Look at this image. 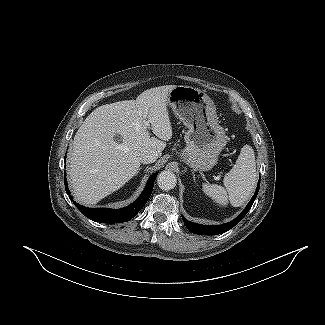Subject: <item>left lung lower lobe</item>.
Segmentation results:
<instances>
[{
	"label": "left lung lower lobe",
	"instance_id": "obj_1",
	"mask_svg": "<svg viewBox=\"0 0 325 325\" xmlns=\"http://www.w3.org/2000/svg\"><path fill=\"white\" fill-rule=\"evenodd\" d=\"M259 187H260V179L256 188V191L252 197V199L250 200V202L248 203V205L246 206V208L242 211V213L236 217L234 220L222 224V225H217V226H207V225H200L197 223H193L190 222L188 220H186L183 216V222L185 224V226L192 232L195 234H200V235H217V234H221L224 233L228 230H230L231 228H233L237 223H239L242 218H244V216L248 213V211L250 210V208L252 207L256 196L258 194L259 191Z\"/></svg>",
	"mask_w": 325,
	"mask_h": 325
}]
</instances>
